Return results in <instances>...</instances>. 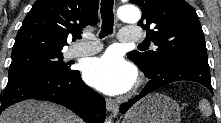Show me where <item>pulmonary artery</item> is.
I'll use <instances>...</instances> for the list:
<instances>
[{"mask_svg":"<svg viewBox=\"0 0 221 123\" xmlns=\"http://www.w3.org/2000/svg\"><path fill=\"white\" fill-rule=\"evenodd\" d=\"M119 40L123 43H135L142 40V34L135 28H123L120 31ZM102 46L99 42L92 39L84 41L73 46L69 51L70 57H80L95 54L101 50Z\"/></svg>","mask_w":221,"mask_h":123,"instance_id":"1","label":"pulmonary artery"}]
</instances>
